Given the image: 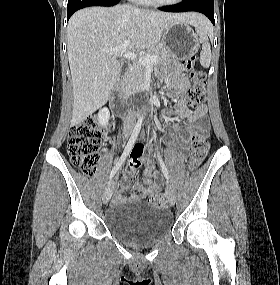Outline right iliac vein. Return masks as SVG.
<instances>
[{"instance_id":"obj_1","label":"right iliac vein","mask_w":280,"mask_h":285,"mask_svg":"<svg viewBox=\"0 0 280 285\" xmlns=\"http://www.w3.org/2000/svg\"><path fill=\"white\" fill-rule=\"evenodd\" d=\"M129 137V134H126L125 135V139H127ZM113 188H114V180H111L105 191H104V194H103V203L104 204H107L111 198V195H112V192H113Z\"/></svg>"}]
</instances>
